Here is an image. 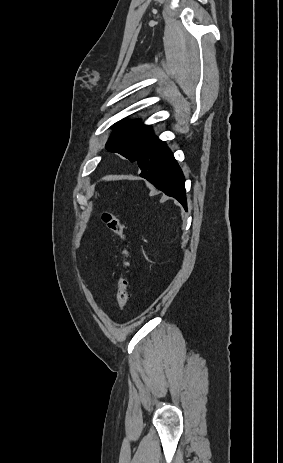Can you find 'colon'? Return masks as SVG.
Wrapping results in <instances>:
<instances>
[{
  "mask_svg": "<svg viewBox=\"0 0 283 463\" xmlns=\"http://www.w3.org/2000/svg\"><path fill=\"white\" fill-rule=\"evenodd\" d=\"M103 222L107 228L118 236L120 241L124 244L126 239V233L124 225L121 220L110 212H105L103 214ZM122 262L118 273L117 278V303L120 311H123L128 304V279H127V269L129 266L128 257L129 252L125 246H123L122 251Z\"/></svg>",
  "mask_w": 283,
  "mask_h": 463,
  "instance_id": "obj_1",
  "label": "colon"
}]
</instances>
